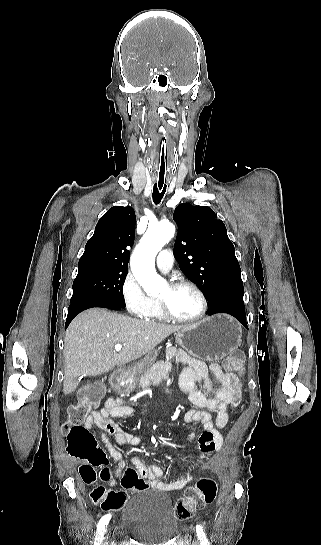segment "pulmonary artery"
I'll list each match as a JSON object with an SVG mask.
<instances>
[{"label":"pulmonary artery","instance_id":"e3ab8cb5","mask_svg":"<svg viewBox=\"0 0 321 545\" xmlns=\"http://www.w3.org/2000/svg\"><path fill=\"white\" fill-rule=\"evenodd\" d=\"M171 256L167 249L159 250L156 262L160 270L167 272L173 267L174 260Z\"/></svg>","mask_w":321,"mask_h":545}]
</instances>
